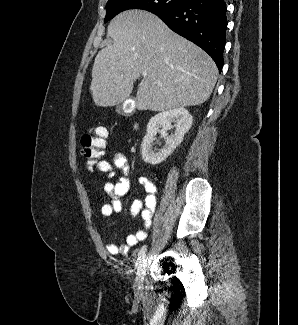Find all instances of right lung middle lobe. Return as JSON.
Returning a JSON list of instances; mask_svg holds the SVG:
<instances>
[{
	"label": "right lung middle lobe",
	"instance_id": "obj_1",
	"mask_svg": "<svg viewBox=\"0 0 298 325\" xmlns=\"http://www.w3.org/2000/svg\"><path fill=\"white\" fill-rule=\"evenodd\" d=\"M189 0H113L106 5L104 22H108L118 13L128 9H143L156 13L163 10H174L182 7Z\"/></svg>",
	"mask_w": 298,
	"mask_h": 325
}]
</instances>
